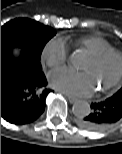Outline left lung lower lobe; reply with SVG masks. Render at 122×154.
Masks as SVG:
<instances>
[{
    "instance_id": "1",
    "label": "left lung lower lobe",
    "mask_w": 122,
    "mask_h": 154,
    "mask_svg": "<svg viewBox=\"0 0 122 154\" xmlns=\"http://www.w3.org/2000/svg\"><path fill=\"white\" fill-rule=\"evenodd\" d=\"M122 118V99L112 96L105 101L92 103L90 113L78 124L89 131H104Z\"/></svg>"
}]
</instances>
